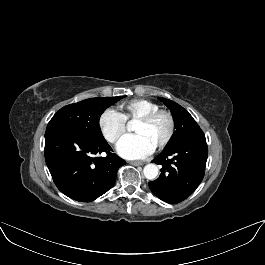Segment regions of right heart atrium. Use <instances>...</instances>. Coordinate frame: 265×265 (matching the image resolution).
I'll use <instances>...</instances> for the list:
<instances>
[{"label": "right heart atrium", "instance_id": "1", "mask_svg": "<svg viewBox=\"0 0 265 265\" xmlns=\"http://www.w3.org/2000/svg\"><path fill=\"white\" fill-rule=\"evenodd\" d=\"M98 126L104 138L117 144L126 132V122L116 110L107 108L98 117Z\"/></svg>", "mask_w": 265, "mask_h": 265}]
</instances>
